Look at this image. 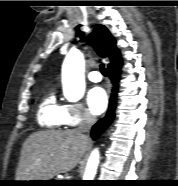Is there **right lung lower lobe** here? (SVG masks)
I'll return each instance as SVG.
<instances>
[{
	"label": "right lung lower lobe",
	"instance_id": "right-lung-lower-lobe-1",
	"mask_svg": "<svg viewBox=\"0 0 178 186\" xmlns=\"http://www.w3.org/2000/svg\"><path fill=\"white\" fill-rule=\"evenodd\" d=\"M121 65H118L116 67H109L106 69L108 77L111 79L113 84L112 89V95L109 100V109L104 118H102L99 122H97L93 128L91 135L93 139H97L100 134L112 123L114 117H115V109L117 104V86L120 79V69Z\"/></svg>",
	"mask_w": 178,
	"mask_h": 186
}]
</instances>
